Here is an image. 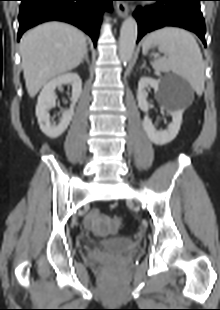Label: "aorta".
Returning <instances> with one entry per match:
<instances>
[{
    "mask_svg": "<svg viewBox=\"0 0 220 310\" xmlns=\"http://www.w3.org/2000/svg\"><path fill=\"white\" fill-rule=\"evenodd\" d=\"M137 39V22L128 17L122 24L119 38V58L123 63L131 61Z\"/></svg>",
    "mask_w": 220,
    "mask_h": 310,
    "instance_id": "1",
    "label": "aorta"
}]
</instances>
